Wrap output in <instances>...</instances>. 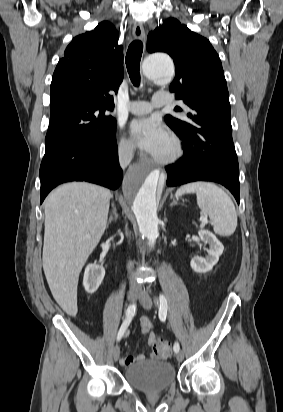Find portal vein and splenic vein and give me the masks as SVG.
Listing matches in <instances>:
<instances>
[{
  "mask_svg": "<svg viewBox=\"0 0 283 412\" xmlns=\"http://www.w3.org/2000/svg\"><path fill=\"white\" fill-rule=\"evenodd\" d=\"M200 221H201V224L204 225V224H206V223L208 222V219H207L206 216H202V217L200 218Z\"/></svg>",
  "mask_w": 283,
  "mask_h": 412,
  "instance_id": "obj_1",
  "label": "portal vein and splenic vein"
}]
</instances>
